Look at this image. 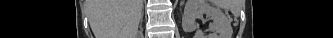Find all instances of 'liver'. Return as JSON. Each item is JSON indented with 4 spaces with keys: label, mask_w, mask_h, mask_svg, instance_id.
<instances>
[{
    "label": "liver",
    "mask_w": 333,
    "mask_h": 38,
    "mask_svg": "<svg viewBox=\"0 0 333 38\" xmlns=\"http://www.w3.org/2000/svg\"><path fill=\"white\" fill-rule=\"evenodd\" d=\"M142 8L143 0H89L95 38H136Z\"/></svg>",
    "instance_id": "1"
}]
</instances>
